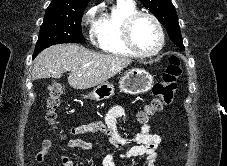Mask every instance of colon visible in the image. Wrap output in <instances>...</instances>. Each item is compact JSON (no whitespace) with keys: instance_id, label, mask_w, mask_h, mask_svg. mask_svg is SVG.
Listing matches in <instances>:
<instances>
[{"instance_id":"5ec220e1","label":"colon","mask_w":227,"mask_h":166,"mask_svg":"<svg viewBox=\"0 0 227 166\" xmlns=\"http://www.w3.org/2000/svg\"><path fill=\"white\" fill-rule=\"evenodd\" d=\"M180 74V61L177 57L173 56L170 59V64L162 80L154 84L151 100L145 108L138 113L137 119L139 122H146L150 116L160 112L165 105L171 104L174 101L177 94V80ZM65 90V86L61 82L51 81L48 83L49 99L46 119L49 122L56 120L60 97L64 95ZM69 141H72V139Z\"/></svg>"}]
</instances>
